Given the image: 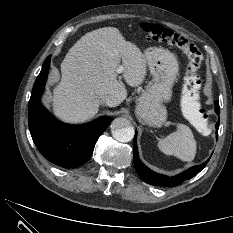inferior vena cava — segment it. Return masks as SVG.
<instances>
[{
	"instance_id": "obj_1",
	"label": "inferior vena cava",
	"mask_w": 233,
	"mask_h": 233,
	"mask_svg": "<svg viewBox=\"0 0 233 233\" xmlns=\"http://www.w3.org/2000/svg\"><path fill=\"white\" fill-rule=\"evenodd\" d=\"M101 103L103 105H107L109 107H112L113 106V98L109 95H106L101 99Z\"/></svg>"
}]
</instances>
